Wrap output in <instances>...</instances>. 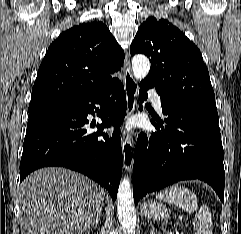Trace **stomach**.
<instances>
[{
    "mask_svg": "<svg viewBox=\"0 0 241 234\" xmlns=\"http://www.w3.org/2000/svg\"><path fill=\"white\" fill-rule=\"evenodd\" d=\"M143 216L152 220H161L168 215L167 208L162 204L154 201H148L141 206Z\"/></svg>",
    "mask_w": 241,
    "mask_h": 234,
    "instance_id": "stomach-1",
    "label": "stomach"
}]
</instances>
